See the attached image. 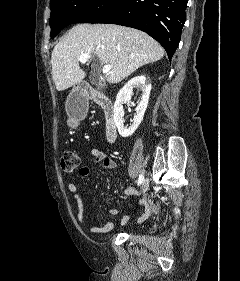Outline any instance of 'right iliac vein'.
<instances>
[{"label": "right iliac vein", "instance_id": "1", "mask_svg": "<svg viewBox=\"0 0 240 281\" xmlns=\"http://www.w3.org/2000/svg\"><path fill=\"white\" fill-rule=\"evenodd\" d=\"M148 187H149V180L146 178L142 182V185H141V188H140L141 193H145L148 190Z\"/></svg>", "mask_w": 240, "mask_h": 281}]
</instances>
